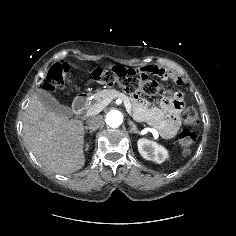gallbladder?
Masks as SVG:
<instances>
[{
	"mask_svg": "<svg viewBox=\"0 0 236 236\" xmlns=\"http://www.w3.org/2000/svg\"><path fill=\"white\" fill-rule=\"evenodd\" d=\"M36 94L43 105L50 111L56 114L69 117L71 116V109L68 106L60 104L49 92L43 89H38Z\"/></svg>",
	"mask_w": 236,
	"mask_h": 236,
	"instance_id": "gallbladder-1",
	"label": "gallbladder"
}]
</instances>
